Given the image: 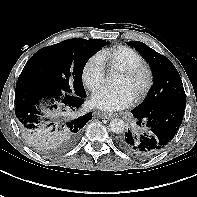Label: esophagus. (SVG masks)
<instances>
[{
    "instance_id": "obj_1",
    "label": "esophagus",
    "mask_w": 197,
    "mask_h": 197,
    "mask_svg": "<svg viewBox=\"0 0 197 197\" xmlns=\"http://www.w3.org/2000/svg\"><path fill=\"white\" fill-rule=\"evenodd\" d=\"M98 116L102 117V118H105V119H110V118H113L115 116V114L113 113H106V112H101V113H98Z\"/></svg>"
}]
</instances>
